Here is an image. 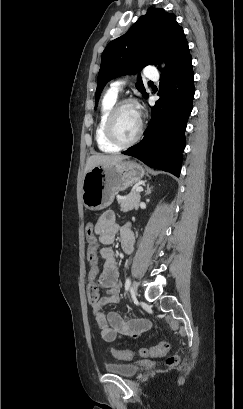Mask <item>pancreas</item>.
Returning a JSON list of instances; mask_svg holds the SVG:
<instances>
[{"mask_svg":"<svg viewBox=\"0 0 243 409\" xmlns=\"http://www.w3.org/2000/svg\"><path fill=\"white\" fill-rule=\"evenodd\" d=\"M140 193L133 191L127 196H117L118 204H120L121 211L128 212L139 208Z\"/></svg>","mask_w":243,"mask_h":409,"instance_id":"cf45deb5","label":"pancreas"}]
</instances>
